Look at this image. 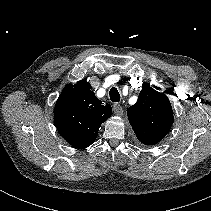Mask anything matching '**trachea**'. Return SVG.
<instances>
[{
  "instance_id": "3493384b",
  "label": "trachea",
  "mask_w": 211,
  "mask_h": 211,
  "mask_svg": "<svg viewBox=\"0 0 211 211\" xmlns=\"http://www.w3.org/2000/svg\"><path fill=\"white\" fill-rule=\"evenodd\" d=\"M110 100L112 102H119L120 101V93L116 87L110 89L109 92Z\"/></svg>"
}]
</instances>
